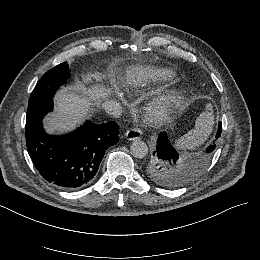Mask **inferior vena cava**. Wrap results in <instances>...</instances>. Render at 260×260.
<instances>
[{"label": "inferior vena cava", "instance_id": "1", "mask_svg": "<svg viewBox=\"0 0 260 260\" xmlns=\"http://www.w3.org/2000/svg\"><path fill=\"white\" fill-rule=\"evenodd\" d=\"M103 111L112 117L119 118L123 113V108L118 102L106 101L102 105Z\"/></svg>", "mask_w": 260, "mask_h": 260}]
</instances>
